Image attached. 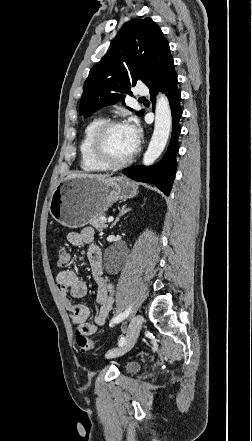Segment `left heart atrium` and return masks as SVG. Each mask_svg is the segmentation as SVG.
I'll return each mask as SVG.
<instances>
[{
	"mask_svg": "<svg viewBox=\"0 0 252 441\" xmlns=\"http://www.w3.org/2000/svg\"><path fill=\"white\" fill-rule=\"evenodd\" d=\"M125 126L128 131V136H129L130 142H131L132 146L134 148H136V146L138 145V142H139V137H140L137 126L134 122H129Z\"/></svg>",
	"mask_w": 252,
	"mask_h": 441,
	"instance_id": "39dd6f15",
	"label": "left heart atrium"
}]
</instances>
